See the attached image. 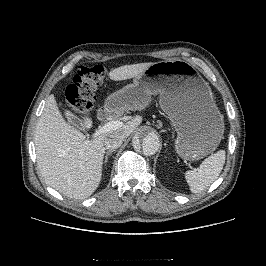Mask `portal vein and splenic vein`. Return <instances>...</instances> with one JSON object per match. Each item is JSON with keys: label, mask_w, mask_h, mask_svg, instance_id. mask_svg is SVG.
<instances>
[{"label": "portal vein and splenic vein", "mask_w": 266, "mask_h": 266, "mask_svg": "<svg viewBox=\"0 0 266 266\" xmlns=\"http://www.w3.org/2000/svg\"><path fill=\"white\" fill-rule=\"evenodd\" d=\"M123 123L121 121H118V120H111L107 123H105L102 127H100L99 129H97L93 134H92V137L93 138H97L99 137L100 135L104 134V133H107L109 131H112V130H117L119 129L120 127H122Z\"/></svg>", "instance_id": "portal-vein-and-splenic-vein-1"}]
</instances>
